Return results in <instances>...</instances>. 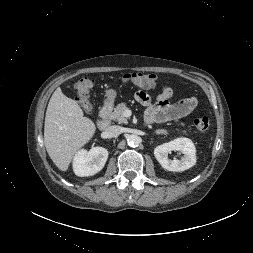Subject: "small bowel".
I'll return each mask as SVG.
<instances>
[{"instance_id": "c3829d8e", "label": "small bowel", "mask_w": 253, "mask_h": 253, "mask_svg": "<svg viewBox=\"0 0 253 253\" xmlns=\"http://www.w3.org/2000/svg\"><path fill=\"white\" fill-rule=\"evenodd\" d=\"M173 90L169 86L161 88L155 103H151L150 96L145 91H137L135 99L146 106L145 120L147 123L179 122L192 113L197 106L195 97L185 98L177 103H170Z\"/></svg>"}]
</instances>
